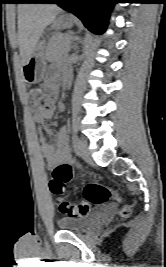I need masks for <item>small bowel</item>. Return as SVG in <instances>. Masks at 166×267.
<instances>
[{"label": "small bowel", "mask_w": 166, "mask_h": 267, "mask_svg": "<svg viewBox=\"0 0 166 267\" xmlns=\"http://www.w3.org/2000/svg\"><path fill=\"white\" fill-rule=\"evenodd\" d=\"M64 74L69 73L67 68H64ZM46 86L54 94L57 91L55 77L46 82ZM54 110L50 108L40 113H35L33 119L36 123L37 130L40 134V147L42 155L46 161L47 166L50 169H54L57 166H66L71 168L72 158L68 147V135L67 130L63 126L58 130L48 129L44 125V121L53 116ZM46 136H54L56 139V146L48 141Z\"/></svg>", "instance_id": "small-bowel-1"}]
</instances>
